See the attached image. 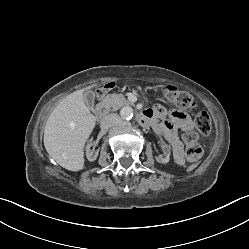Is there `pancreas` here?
<instances>
[{
	"instance_id": "1",
	"label": "pancreas",
	"mask_w": 249,
	"mask_h": 249,
	"mask_svg": "<svg viewBox=\"0 0 249 249\" xmlns=\"http://www.w3.org/2000/svg\"><path fill=\"white\" fill-rule=\"evenodd\" d=\"M105 103L108 104L110 108H112V111H117L121 107L129 104L124 95L116 93L107 95L105 98Z\"/></svg>"
}]
</instances>
